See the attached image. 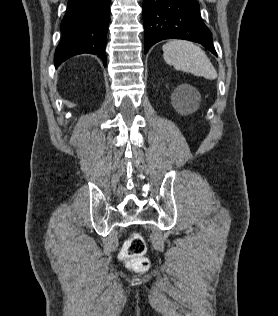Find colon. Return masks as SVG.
<instances>
[{
    "instance_id": "colon-1",
    "label": "colon",
    "mask_w": 278,
    "mask_h": 316,
    "mask_svg": "<svg viewBox=\"0 0 278 316\" xmlns=\"http://www.w3.org/2000/svg\"><path fill=\"white\" fill-rule=\"evenodd\" d=\"M146 243L139 233H133L124 243L121 251V258L135 270H146L149 266L148 260L144 257Z\"/></svg>"
}]
</instances>
